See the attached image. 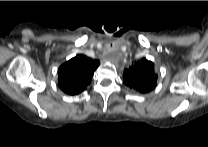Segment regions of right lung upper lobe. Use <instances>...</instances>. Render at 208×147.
I'll return each instance as SVG.
<instances>
[{
	"mask_svg": "<svg viewBox=\"0 0 208 147\" xmlns=\"http://www.w3.org/2000/svg\"><path fill=\"white\" fill-rule=\"evenodd\" d=\"M98 60L77 55L58 69V82L62 91L69 95L82 92L91 82L92 75L99 66Z\"/></svg>",
	"mask_w": 208,
	"mask_h": 147,
	"instance_id": "cb5924a9",
	"label": "right lung upper lobe"
}]
</instances>
